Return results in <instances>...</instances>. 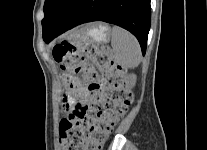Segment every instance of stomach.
I'll return each mask as SVG.
<instances>
[{"instance_id": "0dacf381", "label": "stomach", "mask_w": 207, "mask_h": 150, "mask_svg": "<svg viewBox=\"0 0 207 150\" xmlns=\"http://www.w3.org/2000/svg\"><path fill=\"white\" fill-rule=\"evenodd\" d=\"M74 36L78 40L91 39L96 43H102L108 39L109 27L100 22L92 23L87 25L81 31L74 33Z\"/></svg>"}]
</instances>
